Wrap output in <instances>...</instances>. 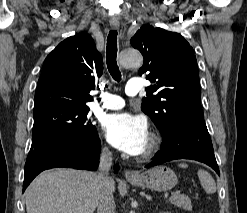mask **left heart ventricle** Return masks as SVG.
Wrapping results in <instances>:
<instances>
[{
  "instance_id": "left-heart-ventricle-1",
  "label": "left heart ventricle",
  "mask_w": 247,
  "mask_h": 213,
  "mask_svg": "<svg viewBox=\"0 0 247 213\" xmlns=\"http://www.w3.org/2000/svg\"><path fill=\"white\" fill-rule=\"evenodd\" d=\"M148 142H149V139H148ZM148 142H147V145H148ZM147 145H146V148H147ZM146 148L144 149V151L146 150ZM144 151H143V152H144Z\"/></svg>"
}]
</instances>
